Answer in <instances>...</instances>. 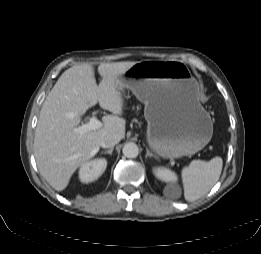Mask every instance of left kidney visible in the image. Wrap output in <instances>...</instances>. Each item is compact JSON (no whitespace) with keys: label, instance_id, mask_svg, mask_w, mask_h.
<instances>
[{"label":"left kidney","instance_id":"1","mask_svg":"<svg viewBox=\"0 0 261 254\" xmlns=\"http://www.w3.org/2000/svg\"><path fill=\"white\" fill-rule=\"evenodd\" d=\"M153 172L158 179L167 183H176L177 181L176 174L170 169L164 167H155L153 168Z\"/></svg>","mask_w":261,"mask_h":254}]
</instances>
